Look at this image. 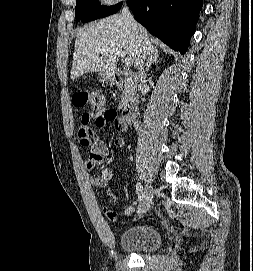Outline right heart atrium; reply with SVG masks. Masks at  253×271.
<instances>
[{"label": "right heart atrium", "instance_id": "right-heart-atrium-1", "mask_svg": "<svg viewBox=\"0 0 253 271\" xmlns=\"http://www.w3.org/2000/svg\"><path fill=\"white\" fill-rule=\"evenodd\" d=\"M118 1L119 0H102L103 3L108 4V5L114 4V3L118 2Z\"/></svg>", "mask_w": 253, "mask_h": 271}]
</instances>
